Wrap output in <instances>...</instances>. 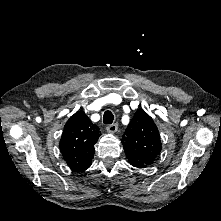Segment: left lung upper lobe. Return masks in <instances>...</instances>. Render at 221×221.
<instances>
[{
    "label": "left lung upper lobe",
    "instance_id": "left-lung-upper-lobe-1",
    "mask_svg": "<svg viewBox=\"0 0 221 221\" xmlns=\"http://www.w3.org/2000/svg\"><path fill=\"white\" fill-rule=\"evenodd\" d=\"M122 143L128 161L137 168L151 165L162 148L158 128L143 109L136 111Z\"/></svg>",
    "mask_w": 221,
    "mask_h": 221
}]
</instances>
